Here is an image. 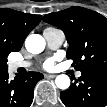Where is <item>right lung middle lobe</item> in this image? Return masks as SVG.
Masks as SVG:
<instances>
[{"label":"right lung middle lobe","mask_w":107,"mask_h":107,"mask_svg":"<svg viewBox=\"0 0 107 107\" xmlns=\"http://www.w3.org/2000/svg\"><path fill=\"white\" fill-rule=\"evenodd\" d=\"M6 63H7V58L0 61V70L8 69V66Z\"/></svg>","instance_id":"obj_1"}]
</instances>
